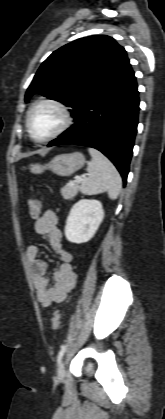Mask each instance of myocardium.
Masks as SVG:
<instances>
[{
    "instance_id": "1",
    "label": "myocardium",
    "mask_w": 165,
    "mask_h": 419,
    "mask_svg": "<svg viewBox=\"0 0 165 419\" xmlns=\"http://www.w3.org/2000/svg\"><path fill=\"white\" fill-rule=\"evenodd\" d=\"M42 105H50L55 107L61 114L62 116V122L60 124V126L49 136H47L46 138L43 139H38L34 136L32 130H31V117L33 112L35 111V109L39 106ZM72 123V116H71V112L69 110V108L61 101L57 100V99H53V98H44V99H40L38 101H36L35 103H33V105L30 107L27 116H26V129L28 132L29 137L31 138L32 141H34L35 143H46V142H50L54 139H56L57 137H59L60 135H62L71 125Z\"/></svg>"
}]
</instances>
